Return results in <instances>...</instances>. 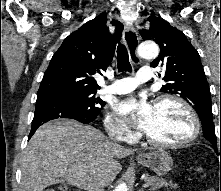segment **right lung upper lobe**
Here are the masks:
<instances>
[{
  "instance_id": "right-lung-upper-lobe-1",
  "label": "right lung upper lobe",
  "mask_w": 221,
  "mask_h": 191,
  "mask_svg": "<svg viewBox=\"0 0 221 191\" xmlns=\"http://www.w3.org/2000/svg\"><path fill=\"white\" fill-rule=\"evenodd\" d=\"M106 23L107 17L98 15L65 38L50 61L37 97L96 93L100 89L93 76L111 63L123 30L120 22L112 20L116 26L112 35Z\"/></svg>"
}]
</instances>
